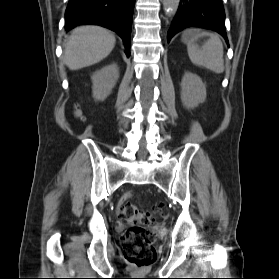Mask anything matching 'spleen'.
<instances>
[{"label":"spleen","instance_id":"obj_1","mask_svg":"<svg viewBox=\"0 0 279 279\" xmlns=\"http://www.w3.org/2000/svg\"><path fill=\"white\" fill-rule=\"evenodd\" d=\"M199 36L209 37L201 47L195 44ZM187 51L191 62L195 65L203 66L218 74L224 71L223 44L217 34L208 32L197 34L188 43Z\"/></svg>","mask_w":279,"mask_h":279}]
</instances>
